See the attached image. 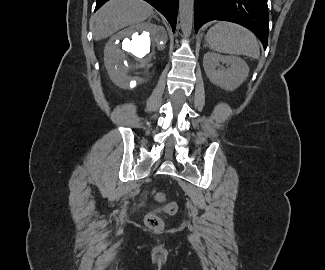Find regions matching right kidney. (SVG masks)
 I'll use <instances>...</instances> for the list:
<instances>
[{
  "label": "right kidney",
  "mask_w": 325,
  "mask_h": 270,
  "mask_svg": "<svg viewBox=\"0 0 325 270\" xmlns=\"http://www.w3.org/2000/svg\"><path fill=\"white\" fill-rule=\"evenodd\" d=\"M167 39L164 27L150 23L132 25L112 36L104 49L110 79L124 89L147 82L154 72L156 50H163Z\"/></svg>",
  "instance_id": "ca27d5eb"
}]
</instances>
